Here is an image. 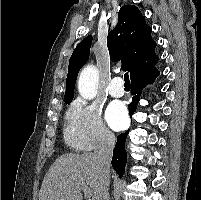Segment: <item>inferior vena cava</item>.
Segmentation results:
<instances>
[{
	"label": "inferior vena cava",
	"instance_id": "602c4592",
	"mask_svg": "<svg viewBox=\"0 0 201 200\" xmlns=\"http://www.w3.org/2000/svg\"><path fill=\"white\" fill-rule=\"evenodd\" d=\"M115 141V136L112 133L104 134L94 152L101 172V180L97 190L96 200H109L110 163Z\"/></svg>",
	"mask_w": 201,
	"mask_h": 200
}]
</instances>
